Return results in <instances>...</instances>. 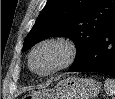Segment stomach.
Wrapping results in <instances>:
<instances>
[{"label": "stomach", "mask_w": 115, "mask_h": 99, "mask_svg": "<svg viewBox=\"0 0 115 99\" xmlns=\"http://www.w3.org/2000/svg\"><path fill=\"white\" fill-rule=\"evenodd\" d=\"M100 90L99 83L92 78L68 77L53 88H45L30 94L31 99H93Z\"/></svg>", "instance_id": "0dacf381"}]
</instances>
